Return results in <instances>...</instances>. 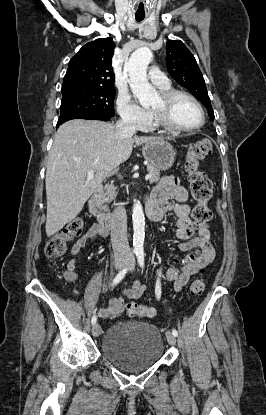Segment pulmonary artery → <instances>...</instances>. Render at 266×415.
Returning <instances> with one entry per match:
<instances>
[{"label": "pulmonary artery", "instance_id": "pulmonary-artery-1", "mask_svg": "<svg viewBox=\"0 0 266 415\" xmlns=\"http://www.w3.org/2000/svg\"><path fill=\"white\" fill-rule=\"evenodd\" d=\"M149 78L153 84L158 87H164L169 85L168 78L159 69L153 67L149 70Z\"/></svg>", "mask_w": 266, "mask_h": 415}]
</instances>
